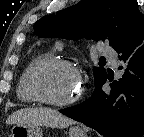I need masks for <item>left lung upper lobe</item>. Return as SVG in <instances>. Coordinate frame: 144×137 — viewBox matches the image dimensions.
I'll list each match as a JSON object with an SVG mask.
<instances>
[{
	"label": "left lung upper lobe",
	"mask_w": 144,
	"mask_h": 137,
	"mask_svg": "<svg viewBox=\"0 0 144 137\" xmlns=\"http://www.w3.org/2000/svg\"><path fill=\"white\" fill-rule=\"evenodd\" d=\"M143 21L135 0H81L73 7L42 17L34 31L43 38L107 40L117 50ZM93 73L95 85L106 76L103 67H94Z\"/></svg>",
	"instance_id": "1"
}]
</instances>
